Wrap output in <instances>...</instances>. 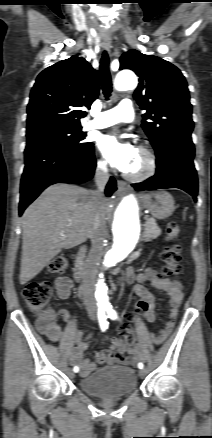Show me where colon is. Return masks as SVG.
Returning <instances> with one entry per match:
<instances>
[{
    "label": "colon",
    "instance_id": "obj_1",
    "mask_svg": "<svg viewBox=\"0 0 212 438\" xmlns=\"http://www.w3.org/2000/svg\"><path fill=\"white\" fill-rule=\"evenodd\" d=\"M179 231V226L176 223H169L166 227L165 241L167 245L161 253L164 266L161 268L160 273L163 276H174L181 272V249L177 244ZM67 264V257L60 254L50 261L48 269L51 273H62ZM22 295L30 312L37 314L42 320L50 318L46 306L52 298L53 290L49 283L30 282L24 287ZM153 310L154 299L150 294H146L139 297L133 312L125 314L124 339L127 346H132L135 342L134 325L142 320L147 321Z\"/></svg>",
    "mask_w": 212,
    "mask_h": 438
}]
</instances>
